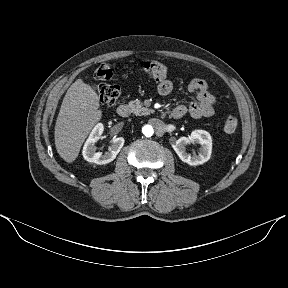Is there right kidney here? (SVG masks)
<instances>
[{"mask_svg": "<svg viewBox=\"0 0 288 288\" xmlns=\"http://www.w3.org/2000/svg\"><path fill=\"white\" fill-rule=\"evenodd\" d=\"M103 130V125L101 123L97 124L86 140L82 151V155L86 161L98 165L107 164L116 158L123 147L124 138L118 137L111 140V145L107 152L104 154L96 152V142L100 139Z\"/></svg>", "mask_w": 288, "mask_h": 288, "instance_id": "right-kidney-1", "label": "right kidney"}]
</instances>
